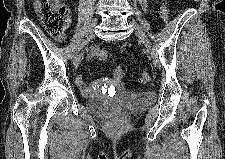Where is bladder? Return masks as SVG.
Segmentation results:
<instances>
[{
  "label": "bladder",
  "instance_id": "obj_1",
  "mask_svg": "<svg viewBox=\"0 0 225 159\" xmlns=\"http://www.w3.org/2000/svg\"><path fill=\"white\" fill-rule=\"evenodd\" d=\"M153 101V96L146 93L126 94L115 100L95 97L87 101V109L95 115L107 117L116 108H121L128 112H136L147 108Z\"/></svg>",
  "mask_w": 225,
  "mask_h": 159
}]
</instances>
